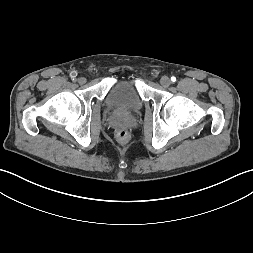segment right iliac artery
Masks as SVG:
<instances>
[{
	"instance_id": "1",
	"label": "right iliac artery",
	"mask_w": 253,
	"mask_h": 253,
	"mask_svg": "<svg viewBox=\"0 0 253 253\" xmlns=\"http://www.w3.org/2000/svg\"><path fill=\"white\" fill-rule=\"evenodd\" d=\"M76 77H77V73H71V78L73 81L76 80Z\"/></svg>"
}]
</instances>
